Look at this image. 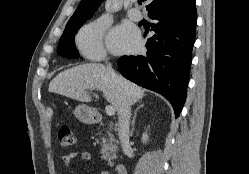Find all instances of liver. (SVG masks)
Listing matches in <instances>:
<instances>
[{"label":"liver","instance_id":"6515ba94","mask_svg":"<svg viewBox=\"0 0 249 174\" xmlns=\"http://www.w3.org/2000/svg\"><path fill=\"white\" fill-rule=\"evenodd\" d=\"M119 85L114 82L110 70L100 63L77 65L59 73L49 84V92L57 93L80 102L89 103L87 90H100L115 110L119 108V88L132 105L144 97L145 90L117 75Z\"/></svg>","mask_w":249,"mask_h":174}]
</instances>
